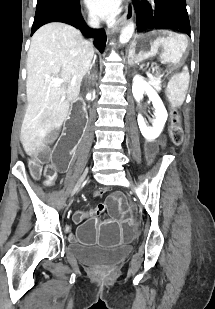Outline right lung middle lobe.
Returning a JSON list of instances; mask_svg holds the SVG:
<instances>
[{
    "label": "right lung middle lobe",
    "instance_id": "obj_1",
    "mask_svg": "<svg viewBox=\"0 0 215 309\" xmlns=\"http://www.w3.org/2000/svg\"><path fill=\"white\" fill-rule=\"evenodd\" d=\"M78 11H80L79 0H37L34 20L58 13L76 14Z\"/></svg>",
    "mask_w": 215,
    "mask_h": 309
}]
</instances>
